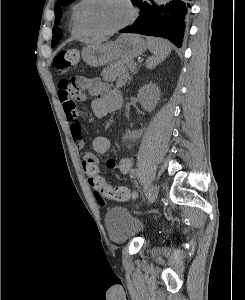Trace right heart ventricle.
<instances>
[{
    "instance_id": "obj_1",
    "label": "right heart ventricle",
    "mask_w": 245,
    "mask_h": 300,
    "mask_svg": "<svg viewBox=\"0 0 245 300\" xmlns=\"http://www.w3.org/2000/svg\"><path fill=\"white\" fill-rule=\"evenodd\" d=\"M82 2H83L82 0H79L77 3H75L73 5L72 10H71V15H70L71 32L73 34L79 35V36L86 35L77 22V12H78V9H79L80 5L82 4Z\"/></svg>"
}]
</instances>
